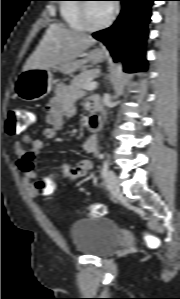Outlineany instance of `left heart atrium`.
<instances>
[{
  "mask_svg": "<svg viewBox=\"0 0 180 299\" xmlns=\"http://www.w3.org/2000/svg\"><path fill=\"white\" fill-rule=\"evenodd\" d=\"M108 6H109L110 10H112V4H108Z\"/></svg>",
  "mask_w": 180,
  "mask_h": 299,
  "instance_id": "39dd6f15",
  "label": "left heart atrium"
}]
</instances>
